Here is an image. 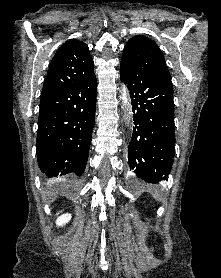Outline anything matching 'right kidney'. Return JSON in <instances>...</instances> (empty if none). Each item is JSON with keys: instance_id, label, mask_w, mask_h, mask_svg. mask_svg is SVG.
<instances>
[{"instance_id": "ca27d5eb", "label": "right kidney", "mask_w": 221, "mask_h": 278, "mask_svg": "<svg viewBox=\"0 0 221 278\" xmlns=\"http://www.w3.org/2000/svg\"><path fill=\"white\" fill-rule=\"evenodd\" d=\"M70 220H71V214L66 213V214L61 215V216L57 219L56 224H57L58 226H62V225H64V224L68 223Z\"/></svg>"}]
</instances>
